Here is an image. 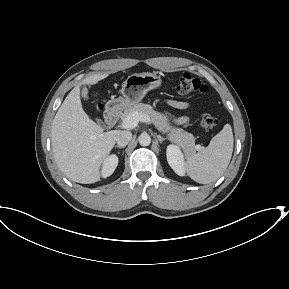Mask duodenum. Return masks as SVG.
I'll return each mask as SVG.
<instances>
[{"instance_id": "1", "label": "duodenum", "mask_w": 289, "mask_h": 289, "mask_svg": "<svg viewBox=\"0 0 289 289\" xmlns=\"http://www.w3.org/2000/svg\"><path fill=\"white\" fill-rule=\"evenodd\" d=\"M119 117L120 109L114 104L108 105L105 111V121L107 125L113 126L117 122Z\"/></svg>"}]
</instances>
